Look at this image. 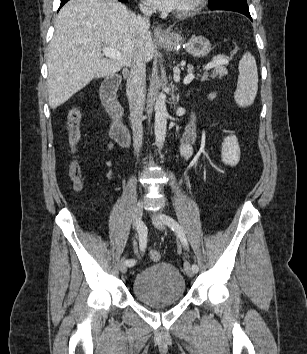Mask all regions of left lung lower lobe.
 I'll return each instance as SVG.
<instances>
[{"label":"left lung lower lobe","instance_id":"0a47b994","mask_svg":"<svg viewBox=\"0 0 307 354\" xmlns=\"http://www.w3.org/2000/svg\"><path fill=\"white\" fill-rule=\"evenodd\" d=\"M212 10H229V11H235L244 14L247 16L249 19L252 20L248 8H240V7H213L211 8Z\"/></svg>","mask_w":307,"mask_h":354}]
</instances>
